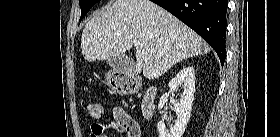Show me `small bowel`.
<instances>
[{"mask_svg":"<svg viewBox=\"0 0 280 137\" xmlns=\"http://www.w3.org/2000/svg\"><path fill=\"white\" fill-rule=\"evenodd\" d=\"M113 120L106 123H94L91 126L90 137H107L108 129L116 130L126 135V137H141L140 132L136 135L130 133L129 127L125 123V119L129 117L122 108L114 107L112 109Z\"/></svg>","mask_w":280,"mask_h":137,"instance_id":"obj_1","label":"small bowel"}]
</instances>
